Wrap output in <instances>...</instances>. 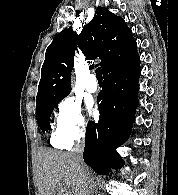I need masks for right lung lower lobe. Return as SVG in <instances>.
I'll return each mask as SVG.
<instances>
[{
	"label": "right lung lower lobe",
	"mask_w": 178,
	"mask_h": 195,
	"mask_svg": "<svg viewBox=\"0 0 178 195\" xmlns=\"http://www.w3.org/2000/svg\"><path fill=\"white\" fill-rule=\"evenodd\" d=\"M139 61L127 69L104 77L98 95L99 121L86 128L84 161L97 173L107 175L124 161L116 152L129 137L138 105Z\"/></svg>",
	"instance_id": "98d812e1"
}]
</instances>
